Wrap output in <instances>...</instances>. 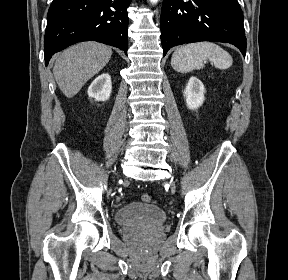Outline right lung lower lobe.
<instances>
[{"label": "right lung lower lobe", "mask_w": 288, "mask_h": 280, "mask_svg": "<svg viewBox=\"0 0 288 280\" xmlns=\"http://www.w3.org/2000/svg\"><path fill=\"white\" fill-rule=\"evenodd\" d=\"M131 0H53L44 37L45 64L53 54L81 41H98L128 50Z\"/></svg>", "instance_id": "obj_1"}]
</instances>
